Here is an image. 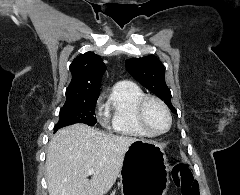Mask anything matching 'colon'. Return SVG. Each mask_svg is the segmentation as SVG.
I'll return each mask as SVG.
<instances>
[{"label": "colon", "instance_id": "colon-1", "mask_svg": "<svg viewBox=\"0 0 240 195\" xmlns=\"http://www.w3.org/2000/svg\"><path fill=\"white\" fill-rule=\"evenodd\" d=\"M174 176L182 189V195H199L198 182L187 168H177Z\"/></svg>", "mask_w": 240, "mask_h": 195}]
</instances>
